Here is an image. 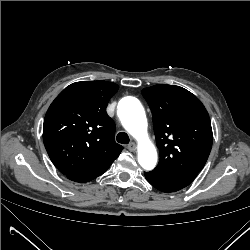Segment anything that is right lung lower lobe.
<instances>
[{
    "label": "right lung lower lobe",
    "instance_id": "98d812e1",
    "mask_svg": "<svg viewBox=\"0 0 250 250\" xmlns=\"http://www.w3.org/2000/svg\"><path fill=\"white\" fill-rule=\"evenodd\" d=\"M109 167H110V165L104 167L101 170H98V171H95L92 173H87V174H83V175H76L73 177H69V179L72 181L79 182V183L88 182V181H91L94 178L98 177L99 175L103 174Z\"/></svg>",
    "mask_w": 250,
    "mask_h": 250
}]
</instances>
